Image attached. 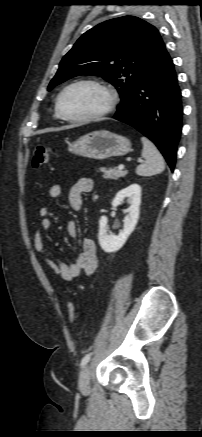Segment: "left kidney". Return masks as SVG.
Segmentation results:
<instances>
[{"label": "left kidney", "mask_w": 202, "mask_h": 437, "mask_svg": "<svg viewBox=\"0 0 202 437\" xmlns=\"http://www.w3.org/2000/svg\"><path fill=\"white\" fill-rule=\"evenodd\" d=\"M127 198L130 204L128 209V215L124 218L123 230L116 236L109 232L108 219L106 216H102L99 220V244L103 251L112 253L118 251L123 247L128 237L134 231L140 213L141 203V187L134 183L120 190L112 201V206H118L122 204L123 200Z\"/></svg>", "instance_id": "obj_1"}]
</instances>
